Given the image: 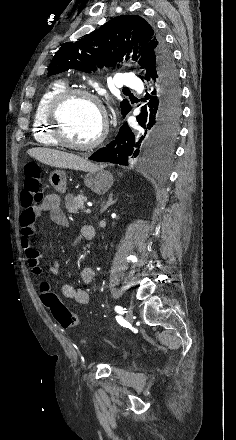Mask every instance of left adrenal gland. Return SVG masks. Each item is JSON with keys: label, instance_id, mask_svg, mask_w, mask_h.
<instances>
[{"label": "left adrenal gland", "instance_id": "a2214340", "mask_svg": "<svg viewBox=\"0 0 236 440\" xmlns=\"http://www.w3.org/2000/svg\"><path fill=\"white\" fill-rule=\"evenodd\" d=\"M116 200L113 199V193H110L108 201L107 202H103L102 203V208L100 210V213L104 212L105 210H107V208L114 204Z\"/></svg>", "mask_w": 236, "mask_h": 440}]
</instances>
